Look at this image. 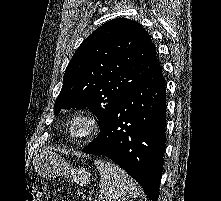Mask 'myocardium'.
I'll list each match as a JSON object with an SVG mask.
<instances>
[{"label":"myocardium","mask_w":221,"mask_h":201,"mask_svg":"<svg viewBox=\"0 0 221 201\" xmlns=\"http://www.w3.org/2000/svg\"><path fill=\"white\" fill-rule=\"evenodd\" d=\"M78 123H82L85 129L82 134H76L74 132V126ZM98 130V120L96 116L88 110L76 111L68 122V134L77 141H85L90 139Z\"/></svg>","instance_id":"f54148a6"}]
</instances>
